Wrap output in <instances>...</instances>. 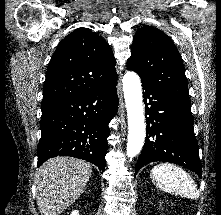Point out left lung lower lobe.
Instances as JSON below:
<instances>
[{"label":"left lung lower lobe","instance_id":"1","mask_svg":"<svg viewBox=\"0 0 221 215\" xmlns=\"http://www.w3.org/2000/svg\"><path fill=\"white\" fill-rule=\"evenodd\" d=\"M142 86L148 115L147 135L135 174L150 162L162 161L181 165L202 177L189 99L171 95L143 81Z\"/></svg>","mask_w":221,"mask_h":215}]
</instances>
